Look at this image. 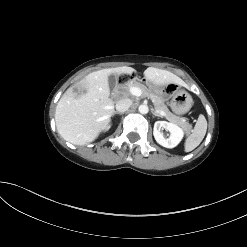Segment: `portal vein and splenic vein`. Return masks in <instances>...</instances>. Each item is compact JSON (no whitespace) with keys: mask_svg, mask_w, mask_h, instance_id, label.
I'll return each mask as SVG.
<instances>
[{"mask_svg":"<svg viewBox=\"0 0 247 247\" xmlns=\"http://www.w3.org/2000/svg\"><path fill=\"white\" fill-rule=\"evenodd\" d=\"M130 93L132 95H134V96L139 97V96L142 95V90L140 88H138V87H131L130 88ZM159 113H160L161 116H165V113L164 112L160 111Z\"/></svg>","mask_w":247,"mask_h":247,"instance_id":"portal-vein-and-splenic-vein-1","label":"portal vein and splenic vein"}]
</instances>
